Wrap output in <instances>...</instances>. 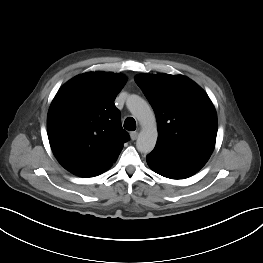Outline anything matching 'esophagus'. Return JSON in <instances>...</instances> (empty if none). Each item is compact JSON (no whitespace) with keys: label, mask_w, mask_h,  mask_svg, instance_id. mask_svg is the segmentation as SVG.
Here are the masks:
<instances>
[{"label":"esophagus","mask_w":263,"mask_h":263,"mask_svg":"<svg viewBox=\"0 0 263 263\" xmlns=\"http://www.w3.org/2000/svg\"><path fill=\"white\" fill-rule=\"evenodd\" d=\"M137 137H138V132H136V131H134V132H131L130 133V138H131V140H136L137 139Z\"/></svg>","instance_id":"obj_1"}]
</instances>
